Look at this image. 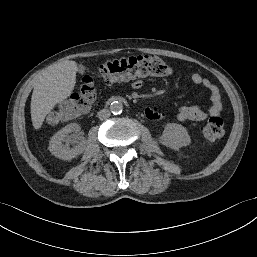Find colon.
I'll list each match as a JSON object with an SVG mask.
<instances>
[{"label":"colon","mask_w":257,"mask_h":257,"mask_svg":"<svg viewBox=\"0 0 257 257\" xmlns=\"http://www.w3.org/2000/svg\"><path fill=\"white\" fill-rule=\"evenodd\" d=\"M167 73V64L155 55H138L104 62L95 72L82 77L78 91L69 100L59 104L48 119L51 122H61L85 114L96 100L95 83L98 80L110 84L142 77L164 76ZM200 131L205 139L215 141L224 134L223 120L212 117L202 124Z\"/></svg>","instance_id":"1"}]
</instances>
